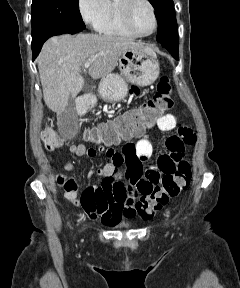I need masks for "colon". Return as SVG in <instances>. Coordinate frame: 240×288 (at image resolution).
Returning a JSON list of instances; mask_svg holds the SVG:
<instances>
[{
  "instance_id": "obj_1",
  "label": "colon",
  "mask_w": 240,
  "mask_h": 288,
  "mask_svg": "<svg viewBox=\"0 0 240 288\" xmlns=\"http://www.w3.org/2000/svg\"><path fill=\"white\" fill-rule=\"evenodd\" d=\"M172 94L170 80L164 76L157 83L152 98L140 107L123 113L112 124L92 130L85 135V139L88 141L114 140L152 126L166 111L172 108L174 103ZM42 139L49 150H54L61 145V139L52 129L45 130ZM191 178L190 164L185 160H181L173 173L162 177L160 185L155 186L149 194L142 195L136 200L135 212L144 220L151 219L169 200L187 189ZM57 182L64 187L66 193L78 194V184L73 179L59 176Z\"/></svg>"
}]
</instances>
